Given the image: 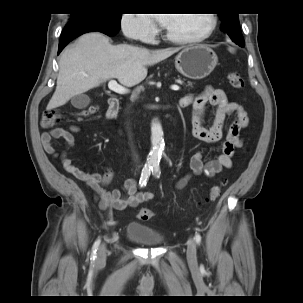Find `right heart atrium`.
I'll return each instance as SVG.
<instances>
[{
	"instance_id": "1",
	"label": "right heart atrium",
	"mask_w": 303,
	"mask_h": 303,
	"mask_svg": "<svg viewBox=\"0 0 303 303\" xmlns=\"http://www.w3.org/2000/svg\"><path fill=\"white\" fill-rule=\"evenodd\" d=\"M120 28L126 36L142 42H149L154 31L151 22L140 14L123 15Z\"/></svg>"
}]
</instances>
